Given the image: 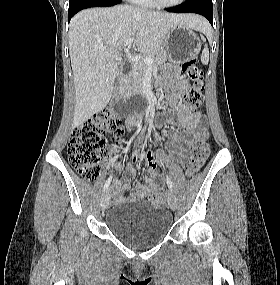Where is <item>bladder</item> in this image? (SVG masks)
Returning <instances> with one entry per match:
<instances>
[{"mask_svg":"<svg viewBox=\"0 0 280 285\" xmlns=\"http://www.w3.org/2000/svg\"><path fill=\"white\" fill-rule=\"evenodd\" d=\"M109 230L133 245L153 243L167 234L172 218L167 209L143 200H123L106 214Z\"/></svg>","mask_w":280,"mask_h":285,"instance_id":"bladder-1","label":"bladder"}]
</instances>
